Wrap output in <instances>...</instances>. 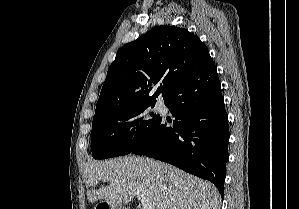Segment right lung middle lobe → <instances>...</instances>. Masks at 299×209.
Wrapping results in <instances>:
<instances>
[{"mask_svg":"<svg viewBox=\"0 0 299 209\" xmlns=\"http://www.w3.org/2000/svg\"><path fill=\"white\" fill-rule=\"evenodd\" d=\"M155 102L115 108L95 115L91 131L92 156L106 159L129 154L160 119Z\"/></svg>","mask_w":299,"mask_h":209,"instance_id":"1","label":"right lung middle lobe"}]
</instances>
